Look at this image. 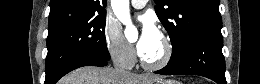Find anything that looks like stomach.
<instances>
[{
    "mask_svg": "<svg viewBox=\"0 0 260 84\" xmlns=\"http://www.w3.org/2000/svg\"><path fill=\"white\" fill-rule=\"evenodd\" d=\"M156 84H180V83L174 80H162V81H157Z\"/></svg>",
    "mask_w": 260,
    "mask_h": 84,
    "instance_id": "1",
    "label": "stomach"
}]
</instances>
